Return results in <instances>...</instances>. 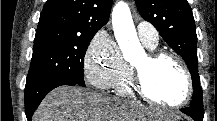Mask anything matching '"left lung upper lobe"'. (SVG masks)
<instances>
[{"label": "left lung upper lobe", "mask_w": 217, "mask_h": 121, "mask_svg": "<svg viewBox=\"0 0 217 121\" xmlns=\"http://www.w3.org/2000/svg\"><path fill=\"white\" fill-rule=\"evenodd\" d=\"M141 16L150 22L166 43L186 62L193 81L190 110L203 121V99L198 74L197 35L187 0H135Z\"/></svg>", "instance_id": "1"}]
</instances>
